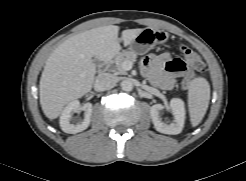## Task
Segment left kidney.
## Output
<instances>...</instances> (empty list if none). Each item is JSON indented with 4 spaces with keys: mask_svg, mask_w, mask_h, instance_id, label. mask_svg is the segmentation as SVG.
Masks as SVG:
<instances>
[{
    "mask_svg": "<svg viewBox=\"0 0 246 181\" xmlns=\"http://www.w3.org/2000/svg\"><path fill=\"white\" fill-rule=\"evenodd\" d=\"M165 107L162 104H155L150 108V115L155 129L163 134L176 135L182 132L185 122V105L183 100L173 98L170 101V111L173 114L172 122L162 119V110Z\"/></svg>",
    "mask_w": 246,
    "mask_h": 181,
    "instance_id": "1",
    "label": "left kidney"
}]
</instances>
